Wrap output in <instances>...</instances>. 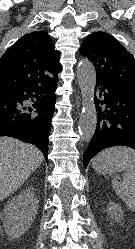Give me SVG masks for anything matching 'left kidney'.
<instances>
[{"instance_id":"obj_1","label":"left kidney","mask_w":135,"mask_h":249,"mask_svg":"<svg viewBox=\"0 0 135 249\" xmlns=\"http://www.w3.org/2000/svg\"><path fill=\"white\" fill-rule=\"evenodd\" d=\"M107 212L110 214V217L113 219H121L123 217V211L122 208L114 203V202H110L107 206Z\"/></svg>"}]
</instances>
